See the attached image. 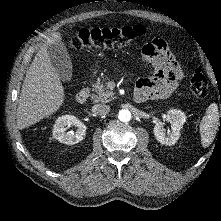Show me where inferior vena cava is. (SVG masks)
Instances as JSON below:
<instances>
[{"label": "inferior vena cava", "instance_id": "obj_1", "mask_svg": "<svg viewBox=\"0 0 221 221\" xmlns=\"http://www.w3.org/2000/svg\"><path fill=\"white\" fill-rule=\"evenodd\" d=\"M92 111L97 115H106L110 111V107L105 104H96L92 107Z\"/></svg>", "mask_w": 221, "mask_h": 221}]
</instances>
